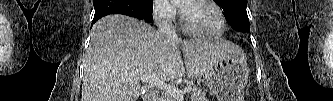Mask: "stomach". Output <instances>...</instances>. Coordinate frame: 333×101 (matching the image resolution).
<instances>
[{
  "instance_id": "0dacf381",
  "label": "stomach",
  "mask_w": 333,
  "mask_h": 101,
  "mask_svg": "<svg viewBox=\"0 0 333 101\" xmlns=\"http://www.w3.org/2000/svg\"><path fill=\"white\" fill-rule=\"evenodd\" d=\"M216 42L223 43V40ZM233 45L205 72V81L218 101H244V88L249 75L247 58Z\"/></svg>"
}]
</instances>
